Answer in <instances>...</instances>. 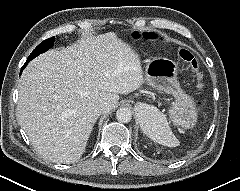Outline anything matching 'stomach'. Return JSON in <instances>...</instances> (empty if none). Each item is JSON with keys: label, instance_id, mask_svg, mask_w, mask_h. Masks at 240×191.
Segmentation results:
<instances>
[{"label": "stomach", "instance_id": "1", "mask_svg": "<svg viewBox=\"0 0 240 191\" xmlns=\"http://www.w3.org/2000/svg\"><path fill=\"white\" fill-rule=\"evenodd\" d=\"M177 71V65L172 60L154 58L145 67L144 81L149 86L174 96L175 102L169 109L170 117L176 125L189 129L197 121L196 105L194 99L182 90ZM145 109L140 107L139 113Z\"/></svg>", "mask_w": 240, "mask_h": 191}]
</instances>
